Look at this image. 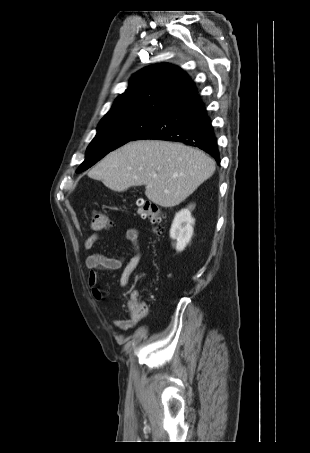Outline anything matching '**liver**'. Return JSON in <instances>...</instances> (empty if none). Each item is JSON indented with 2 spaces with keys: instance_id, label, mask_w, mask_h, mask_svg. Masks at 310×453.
<instances>
[{
  "instance_id": "6515ba94",
  "label": "liver",
  "mask_w": 310,
  "mask_h": 453,
  "mask_svg": "<svg viewBox=\"0 0 310 453\" xmlns=\"http://www.w3.org/2000/svg\"><path fill=\"white\" fill-rule=\"evenodd\" d=\"M215 171L203 151L162 140H139L110 152L88 176L116 192L145 185V195L162 207H174Z\"/></svg>"
}]
</instances>
